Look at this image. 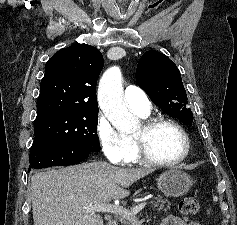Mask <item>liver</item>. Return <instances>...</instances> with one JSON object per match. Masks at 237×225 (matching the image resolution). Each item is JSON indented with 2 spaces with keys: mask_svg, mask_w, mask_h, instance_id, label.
Here are the masks:
<instances>
[{
  "mask_svg": "<svg viewBox=\"0 0 237 225\" xmlns=\"http://www.w3.org/2000/svg\"><path fill=\"white\" fill-rule=\"evenodd\" d=\"M151 172L104 162L38 172L31 178L34 225H103L102 217L88 208L127 197V188Z\"/></svg>",
  "mask_w": 237,
  "mask_h": 225,
  "instance_id": "1",
  "label": "liver"
}]
</instances>
